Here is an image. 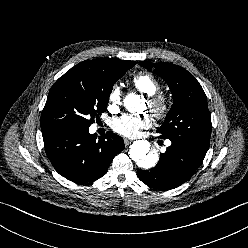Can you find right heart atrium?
<instances>
[{"instance_id": "1", "label": "right heart atrium", "mask_w": 248, "mask_h": 248, "mask_svg": "<svg viewBox=\"0 0 248 248\" xmlns=\"http://www.w3.org/2000/svg\"><path fill=\"white\" fill-rule=\"evenodd\" d=\"M111 108L117 109L121 103V91L118 85H114L108 97Z\"/></svg>"}]
</instances>
